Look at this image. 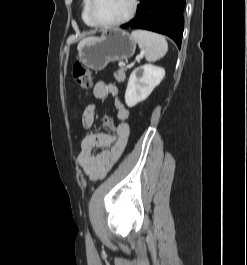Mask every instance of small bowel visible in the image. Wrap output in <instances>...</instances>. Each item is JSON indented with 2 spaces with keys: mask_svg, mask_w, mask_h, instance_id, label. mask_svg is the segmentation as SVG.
<instances>
[{
  "mask_svg": "<svg viewBox=\"0 0 247 265\" xmlns=\"http://www.w3.org/2000/svg\"><path fill=\"white\" fill-rule=\"evenodd\" d=\"M93 94L97 99H104L109 94L116 97V117L119 121L115 134L91 133L86 135L81 142L80 153L77 158L78 165L91 180H100L118 161L127 145L130 134L127 119L130 113L118 98V89L114 85L105 81H98L94 85ZM95 110L96 105L94 103L87 105L84 109L82 126L85 129L92 127Z\"/></svg>",
  "mask_w": 247,
  "mask_h": 265,
  "instance_id": "c3829d8e",
  "label": "small bowel"
}]
</instances>
